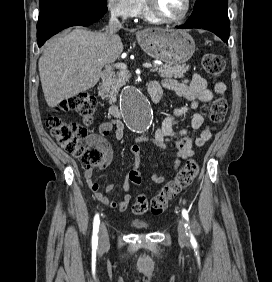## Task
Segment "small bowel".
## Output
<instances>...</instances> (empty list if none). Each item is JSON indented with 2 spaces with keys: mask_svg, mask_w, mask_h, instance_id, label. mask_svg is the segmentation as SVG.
<instances>
[{
  "mask_svg": "<svg viewBox=\"0 0 272 282\" xmlns=\"http://www.w3.org/2000/svg\"><path fill=\"white\" fill-rule=\"evenodd\" d=\"M162 87L185 98L188 103L175 108L169 116L159 123L152 135L136 138L130 150L134 155L135 164L139 165L140 142H151L163 150L168 148L173 149L176 152V157L172 165L174 168H178L182 160L188 159L193 155L194 146L201 147L207 143L212 135L213 128L204 123V118L200 113H194L191 117V127L195 129L201 128V132L198 137L192 138L189 136L187 129L173 130L172 120L198 105H204L210 102L214 94H224L226 85L222 82H217L213 90H211L208 88L207 82L202 76L194 74L189 81H177L170 78L165 79L162 81ZM113 127L115 138L122 140L124 138L125 128L121 121H108L100 126L99 134H92L88 137L90 144H98L103 149L104 159L99 165V170L106 169L113 159V148L107 140V136L110 135ZM93 176L92 170H86L84 172V178L90 189L94 192L95 197L102 203L117 209L119 212L126 211L131 200V195L128 193L130 188L129 177H126L122 184V189L125 192L124 195L119 200H114L100 191L99 185L93 181ZM151 181L155 184H162L165 181V177L153 174L151 175ZM112 188L113 186L109 185L107 191L112 190Z\"/></svg>",
  "mask_w": 272,
  "mask_h": 282,
  "instance_id": "obj_1",
  "label": "small bowel"
}]
</instances>
